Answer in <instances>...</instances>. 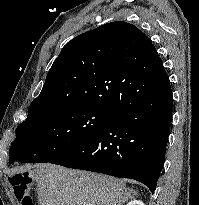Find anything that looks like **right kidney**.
<instances>
[{
  "instance_id": "obj_1",
  "label": "right kidney",
  "mask_w": 199,
  "mask_h": 205,
  "mask_svg": "<svg viewBox=\"0 0 199 205\" xmlns=\"http://www.w3.org/2000/svg\"><path fill=\"white\" fill-rule=\"evenodd\" d=\"M127 205H145L141 200H132Z\"/></svg>"
}]
</instances>
